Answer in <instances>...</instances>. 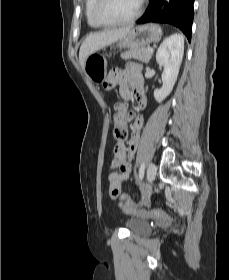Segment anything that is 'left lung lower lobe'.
<instances>
[{"label": "left lung lower lobe", "instance_id": "1", "mask_svg": "<svg viewBox=\"0 0 229 280\" xmlns=\"http://www.w3.org/2000/svg\"><path fill=\"white\" fill-rule=\"evenodd\" d=\"M194 0H150L145 14L137 24L168 23L178 27L191 40Z\"/></svg>", "mask_w": 229, "mask_h": 280}]
</instances>
